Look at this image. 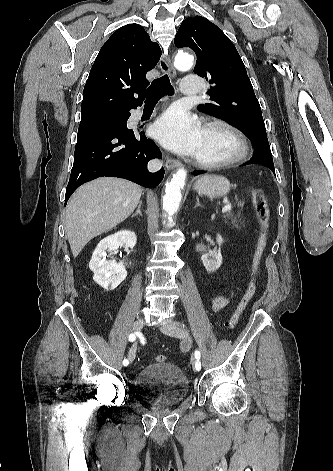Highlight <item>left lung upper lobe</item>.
<instances>
[{"mask_svg":"<svg viewBox=\"0 0 333 471\" xmlns=\"http://www.w3.org/2000/svg\"><path fill=\"white\" fill-rule=\"evenodd\" d=\"M174 43L196 53L194 73L213 85L207 92L210 102L198 105V109L241 129L252 140L253 156L271 155L261 107L230 39L206 18L195 16L182 22Z\"/></svg>","mask_w":333,"mask_h":471,"instance_id":"obj_1","label":"left lung upper lobe"}]
</instances>
